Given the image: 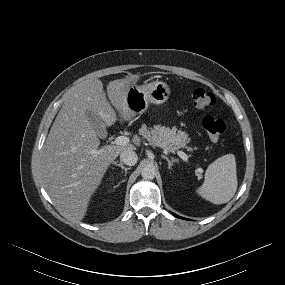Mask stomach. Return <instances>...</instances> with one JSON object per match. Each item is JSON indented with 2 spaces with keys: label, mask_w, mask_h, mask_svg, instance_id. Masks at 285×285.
<instances>
[{
  "label": "stomach",
  "mask_w": 285,
  "mask_h": 285,
  "mask_svg": "<svg viewBox=\"0 0 285 285\" xmlns=\"http://www.w3.org/2000/svg\"><path fill=\"white\" fill-rule=\"evenodd\" d=\"M170 94L169 85L163 81L157 80L141 86L134 84L127 92L126 103L135 115L142 114L149 103L163 104L168 101Z\"/></svg>",
  "instance_id": "obj_1"
}]
</instances>
